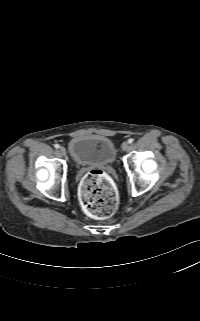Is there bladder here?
<instances>
[{
    "mask_svg": "<svg viewBox=\"0 0 200 321\" xmlns=\"http://www.w3.org/2000/svg\"><path fill=\"white\" fill-rule=\"evenodd\" d=\"M68 152L78 165H108L116 159L111 139L101 135H83L70 140Z\"/></svg>",
    "mask_w": 200,
    "mask_h": 321,
    "instance_id": "bladder-1",
    "label": "bladder"
}]
</instances>
